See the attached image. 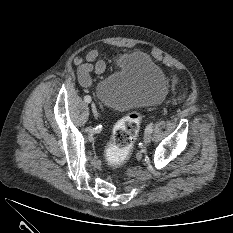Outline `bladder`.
Masks as SVG:
<instances>
[{"label":"bladder","mask_w":233,"mask_h":233,"mask_svg":"<svg viewBox=\"0 0 233 233\" xmlns=\"http://www.w3.org/2000/svg\"><path fill=\"white\" fill-rule=\"evenodd\" d=\"M168 92L163 70L144 52L124 55L118 69L97 85L100 102L116 113L159 104Z\"/></svg>","instance_id":"1"}]
</instances>
